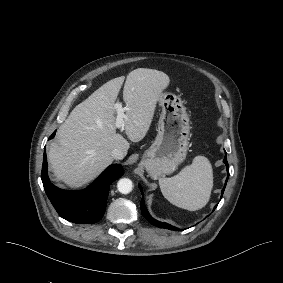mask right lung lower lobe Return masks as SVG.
<instances>
[{"label":"right lung lower lobe","mask_w":283,"mask_h":283,"mask_svg":"<svg viewBox=\"0 0 283 283\" xmlns=\"http://www.w3.org/2000/svg\"><path fill=\"white\" fill-rule=\"evenodd\" d=\"M55 132L50 136L52 139ZM122 166H109L87 189L65 191L50 183L47 174V157L44 148L41 179L44 189L58 214L64 219L80 224L96 223L103 217L110 184L123 175Z\"/></svg>","instance_id":"obj_1"}]
</instances>
